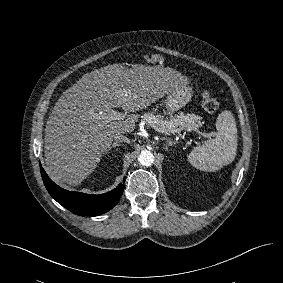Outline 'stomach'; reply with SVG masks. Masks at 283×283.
I'll list each match as a JSON object with an SVG mask.
<instances>
[{"label": "stomach", "mask_w": 283, "mask_h": 283, "mask_svg": "<svg viewBox=\"0 0 283 283\" xmlns=\"http://www.w3.org/2000/svg\"><path fill=\"white\" fill-rule=\"evenodd\" d=\"M192 96V88L187 84L185 79L181 80L166 97L165 105L168 113L172 114L184 107L190 102Z\"/></svg>", "instance_id": "1"}]
</instances>
